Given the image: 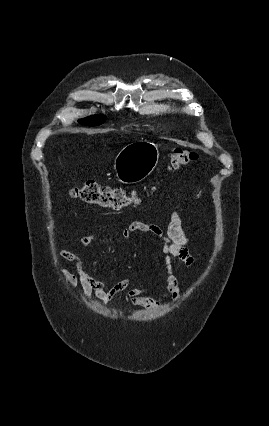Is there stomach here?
Returning <instances> with one entry per match:
<instances>
[{"instance_id":"obj_1","label":"stomach","mask_w":269,"mask_h":426,"mask_svg":"<svg viewBox=\"0 0 269 426\" xmlns=\"http://www.w3.org/2000/svg\"><path fill=\"white\" fill-rule=\"evenodd\" d=\"M158 160L159 150L155 143L143 139L130 143L115 158L116 177L124 184L138 183L153 172Z\"/></svg>"}]
</instances>
